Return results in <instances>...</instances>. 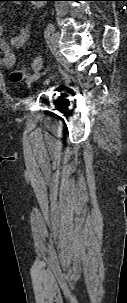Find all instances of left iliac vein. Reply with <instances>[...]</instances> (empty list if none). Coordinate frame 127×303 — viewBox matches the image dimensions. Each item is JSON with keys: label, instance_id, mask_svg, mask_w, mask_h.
<instances>
[{"label": "left iliac vein", "instance_id": "1", "mask_svg": "<svg viewBox=\"0 0 127 303\" xmlns=\"http://www.w3.org/2000/svg\"><path fill=\"white\" fill-rule=\"evenodd\" d=\"M59 35L58 33H54L49 41V47L52 51V53L54 54V56L56 57L57 60H62V55L59 51Z\"/></svg>", "mask_w": 127, "mask_h": 303}]
</instances>
